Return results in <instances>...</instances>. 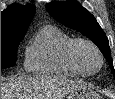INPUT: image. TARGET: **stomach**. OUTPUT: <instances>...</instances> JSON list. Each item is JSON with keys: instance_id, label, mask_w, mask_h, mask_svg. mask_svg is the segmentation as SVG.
Here are the masks:
<instances>
[{"instance_id": "obj_1", "label": "stomach", "mask_w": 115, "mask_h": 99, "mask_svg": "<svg viewBox=\"0 0 115 99\" xmlns=\"http://www.w3.org/2000/svg\"><path fill=\"white\" fill-rule=\"evenodd\" d=\"M67 99H100L99 95L86 86L70 92Z\"/></svg>"}]
</instances>
